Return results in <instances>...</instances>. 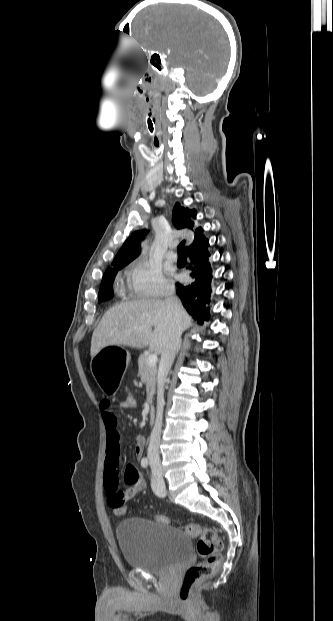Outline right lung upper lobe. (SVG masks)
Here are the masks:
<instances>
[{
    "mask_svg": "<svg viewBox=\"0 0 333 621\" xmlns=\"http://www.w3.org/2000/svg\"><path fill=\"white\" fill-rule=\"evenodd\" d=\"M196 213L195 209H188L181 206L179 203H176L172 211L174 225L177 229L193 230V220L196 219ZM147 233V230L133 232L117 253L111 267L127 265L133 261L139 255L141 251L139 243ZM206 245H208V240L203 235V229L199 227L195 230L194 241L189 247L186 248V252L196 246L203 247Z\"/></svg>",
    "mask_w": 333,
    "mask_h": 621,
    "instance_id": "cb5924a9",
    "label": "right lung upper lobe"
}]
</instances>
